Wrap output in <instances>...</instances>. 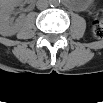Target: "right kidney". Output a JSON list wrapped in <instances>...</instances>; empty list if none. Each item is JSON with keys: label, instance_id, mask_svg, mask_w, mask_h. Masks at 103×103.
Returning a JSON list of instances; mask_svg holds the SVG:
<instances>
[{"label": "right kidney", "instance_id": "1", "mask_svg": "<svg viewBox=\"0 0 103 103\" xmlns=\"http://www.w3.org/2000/svg\"><path fill=\"white\" fill-rule=\"evenodd\" d=\"M19 4L18 0H5L0 5V33L3 36H12L19 30V24L10 20V15Z\"/></svg>", "mask_w": 103, "mask_h": 103}]
</instances>
